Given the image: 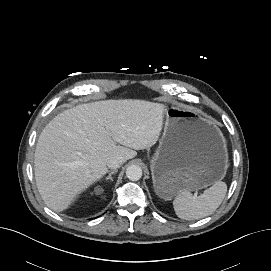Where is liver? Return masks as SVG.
<instances>
[{
  "instance_id": "obj_1",
  "label": "liver",
  "mask_w": 271,
  "mask_h": 271,
  "mask_svg": "<svg viewBox=\"0 0 271 271\" xmlns=\"http://www.w3.org/2000/svg\"><path fill=\"white\" fill-rule=\"evenodd\" d=\"M165 112L158 103L106 100L57 115L41 132L35 150V180L44 203L55 212L67 209L108 172L111 157L125 162L137 155L135 150L155 145Z\"/></svg>"
}]
</instances>
